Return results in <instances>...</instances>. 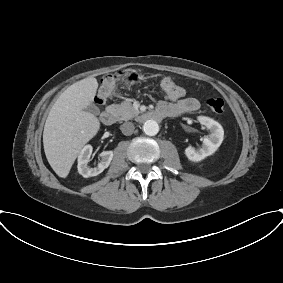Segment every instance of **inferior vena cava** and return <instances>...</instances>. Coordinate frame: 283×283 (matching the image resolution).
Here are the masks:
<instances>
[{
    "instance_id": "602c4592",
    "label": "inferior vena cava",
    "mask_w": 283,
    "mask_h": 283,
    "mask_svg": "<svg viewBox=\"0 0 283 283\" xmlns=\"http://www.w3.org/2000/svg\"><path fill=\"white\" fill-rule=\"evenodd\" d=\"M135 126L132 122H125L121 125V131L124 135H131L134 132Z\"/></svg>"
}]
</instances>
